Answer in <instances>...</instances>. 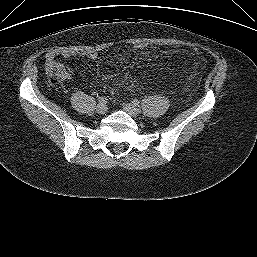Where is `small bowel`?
<instances>
[{
    "label": "small bowel",
    "instance_id": "1",
    "mask_svg": "<svg viewBox=\"0 0 257 257\" xmlns=\"http://www.w3.org/2000/svg\"><path fill=\"white\" fill-rule=\"evenodd\" d=\"M62 58H97V53L95 51H76V50H50L46 54L47 63L55 60L56 57Z\"/></svg>",
    "mask_w": 257,
    "mask_h": 257
}]
</instances>
